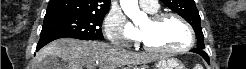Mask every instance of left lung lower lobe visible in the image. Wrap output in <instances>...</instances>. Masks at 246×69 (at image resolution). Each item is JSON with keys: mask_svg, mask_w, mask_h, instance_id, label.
<instances>
[{"mask_svg": "<svg viewBox=\"0 0 246 69\" xmlns=\"http://www.w3.org/2000/svg\"><path fill=\"white\" fill-rule=\"evenodd\" d=\"M191 52H194V53L201 55L208 63H210L208 55L203 50L192 49Z\"/></svg>", "mask_w": 246, "mask_h": 69, "instance_id": "0a47b994", "label": "left lung lower lobe"}]
</instances>
